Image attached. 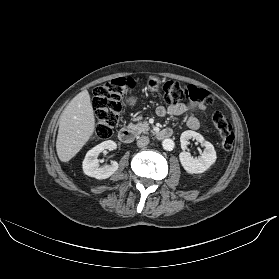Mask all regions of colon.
<instances>
[{
    "instance_id": "1",
    "label": "colon",
    "mask_w": 279,
    "mask_h": 279,
    "mask_svg": "<svg viewBox=\"0 0 279 279\" xmlns=\"http://www.w3.org/2000/svg\"><path fill=\"white\" fill-rule=\"evenodd\" d=\"M134 88V81L120 77L112 79L95 87L93 91V105L96 116V127L93 139H108L120 123L123 97ZM163 102L169 106L183 101L211 104L212 96L204 89L195 86H185L177 81H168L163 86ZM212 121L220 136L223 149H232L235 134L225 115L216 111Z\"/></svg>"
}]
</instances>
